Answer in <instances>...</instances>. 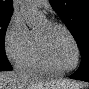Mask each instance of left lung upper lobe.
<instances>
[{"label": "left lung upper lobe", "instance_id": "obj_1", "mask_svg": "<svg viewBox=\"0 0 89 89\" xmlns=\"http://www.w3.org/2000/svg\"><path fill=\"white\" fill-rule=\"evenodd\" d=\"M49 1L75 38L81 59L89 57V0Z\"/></svg>", "mask_w": 89, "mask_h": 89}]
</instances>
